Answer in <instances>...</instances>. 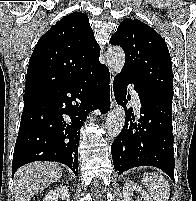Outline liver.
I'll return each instance as SVG.
<instances>
[{
	"label": "liver",
	"mask_w": 196,
	"mask_h": 201,
	"mask_svg": "<svg viewBox=\"0 0 196 201\" xmlns=\"http://www.w3.org/2000/svg\"><path fill=\"white\" fill-rule=\"evenodd\" d=\"M61 176L62 168L57 163L33 162L20 167L14 175L15 201H30Z\"/></svg>",
	"instance_id": "obj_1"
}]
</instances>
